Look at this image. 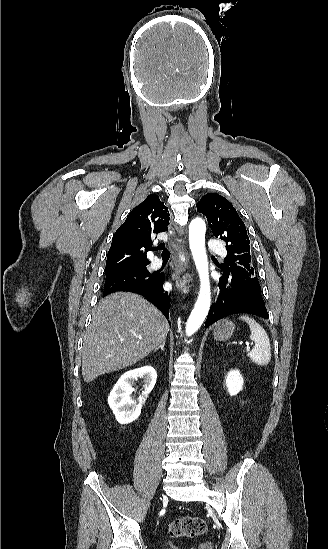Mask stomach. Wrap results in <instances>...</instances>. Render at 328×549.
I'll use <instances>...</instances> for the list:
<instances>
[{
  "label": "stomach",
  "mask_w": 328,
  "mask_h": 549,
  "mask_svg": "<svg viewBox=\"0 0 328 549\" xmlns=\"http://www.w3.org/2000/svg\"><path fill=\"white\" fill-rule=\"evenodd\" d=\"M234 329L235 325H233L232 321L221 319L213 327V339H216V341H226V339L232 337Z\"/></svg>",
  "instance_id": "1"
}]
</instances>
